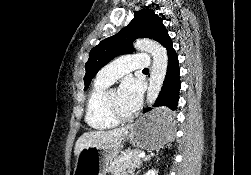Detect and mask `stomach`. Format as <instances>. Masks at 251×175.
<instances>
[{"label": "stomach", "instance_id": "0dacf381", "mask_svg": "<svg viewBox=\"0 0 251 175\" xmlns=\"http://www.w3.org/2000/svg\"><path fill=\"white\" fill-rule=\"evenodd\" d=\"M174 119L175 114L172 111L166 107H157L132 123L123 141H129L141 149L157 147L165 141H171L173 128H176ZM121 147L122 143L112 147H82L76 157L73 175H106L110 161L119 157Z\"/></svg>", "mask_w": 251, "mask_h": 175}]
</instances>
